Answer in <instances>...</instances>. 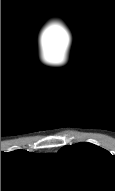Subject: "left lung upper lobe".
<instances>
[{"label": "left lung upper lobe", "mask_w": 115, "mask_h": 191, "mask_svg": "<svg viewBox=\"0 0 115 191\" xmlns=\"http://www.w3.org/2000/svg\"><path fill=\"white\" fill-rule=\"evenodd\" d=\"M60 152L93 161L111 156L107 150L88 142L64 146Z\"/></svg>", "instance_id": "5c2ea615"}]
</instances>
